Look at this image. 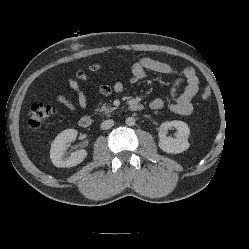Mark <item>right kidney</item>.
<instances>
[{
	"instance_id": "ca27d5eb",
	"label": "right kidney",
	"mask_w": 249,
	"mask_h": 249,
	"mask_svg": "<svg viewBox=\"0 0 249 249\" xmlns=\"http://www.w3.org/2000/svg\"><path fill=\"white\" fill-rule=\"evenodd\" d=\"M77 130L66 129L54 139L50 149V158L56 167H73L81 163L87 156L86 150L72 152L69 157H65L66 143L76 140Z\"/></svg>"
}]
</instances>
